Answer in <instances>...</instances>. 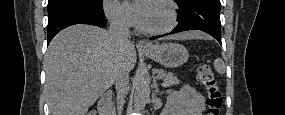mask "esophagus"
Masks as SVG:
<instances>
[{
    "mask_svg": "<svg viewBox=\"0 0 285 115\" xmlns=\"http://www.w3.org/2000/svg\"><path fill=\"white\" fill-rule=\"evenodd\" d=\"M138 48H149L150 44L145 40H139L137 43Z\"/></svg>",
    "mask_w": 285,
    "mask_h": 115,
    "instance_id": "esophagus-1",
    "label": "esophagus"
}]
</instances>
